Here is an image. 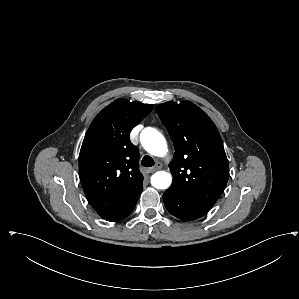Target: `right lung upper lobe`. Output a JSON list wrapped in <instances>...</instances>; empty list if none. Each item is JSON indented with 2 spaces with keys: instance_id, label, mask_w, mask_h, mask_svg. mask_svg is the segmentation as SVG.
<instances>
[{
  "instance_id": "cb5924a9",
  "label": "right lung upper lobe",
  "mask_w": 299,
  "mask_h": 299,
  "mask_svg": "<svg viewBox=\"0 0 299 299\" xmlns=\"http://www.w3.org/2000/svg\"><path fill=\"white\" fill-rule=\"evenodd\" d=\"M152 109L149 104L117 99L95 117L85 135L79 175L89 203L102 218L142 189L139 152L129 133Z\"/></svg>"
}]
</instances>
